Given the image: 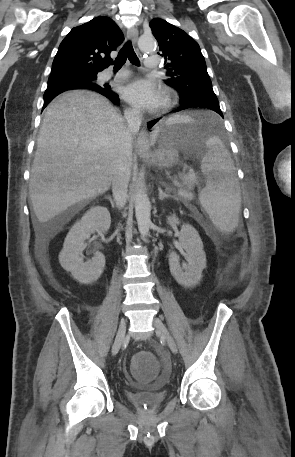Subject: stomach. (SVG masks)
<instances>
[{
    "label": "stomach",
    "mask_w": 295,
    "mask_h": 457,
    "mask_svg": "<svg viewBox=\"0 0 295 457\" xmlns=\"http://www.w3.org/2000/svg\"><path fill=\"white\" fill-rule=\"evenodd\" d=\"M208 138L209 126L202 120L192 118L190 121L166 122L151 135V142L157 143L158 148L144 158L153 166L171 167L178 163L179 150L186 146H193L202 153L207 151Z\"/></svg>",
    "instance_id": "1"
}]
</instances>
